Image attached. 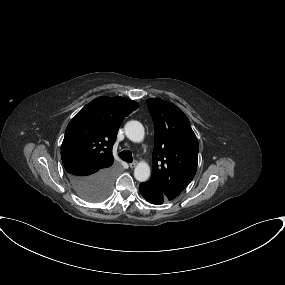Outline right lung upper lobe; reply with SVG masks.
<instances>
[{
  "mask_svg": "<svg viewBox=\"0 0 285 285\" xmlns=\"http://www.w3.org/2000/svg\"><path fill=\"white\" fill-rule=\"evenodd\" d=\"M138 107L137 102L124 97H99L82 108L68 124L61 146L66 171L70 174L110 167L118 128Z\"/></svg>",
  "mask_w": 285,
  "mask_h": 285,
  "instance_id": "obj_1",
  "label": "right lung upper lobe"
}]
</instances>
